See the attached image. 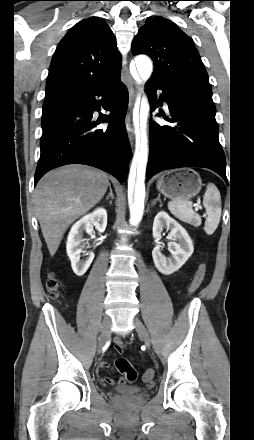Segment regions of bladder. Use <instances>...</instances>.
Returning a JSON list of instances; mask_svg holds the SVG:
<instances>
[{
  "instance_id": "obj_1",
  "label": "bladder",
  "mask_w": 254,
  "mask_h": 440,
  "mask_svg": "<svg viewBox=\"0 0 254 440\" xmlns=\"http://www.w3.org/2000/svg\"><path fill=\"white\" fill-rule=\"evenodd\" d=\"M142 390H143L142 387H137V386H119L114 389V391L116 393L122 394V395H132V394L139 393Z\"/></svg>"
}]
</instances>
